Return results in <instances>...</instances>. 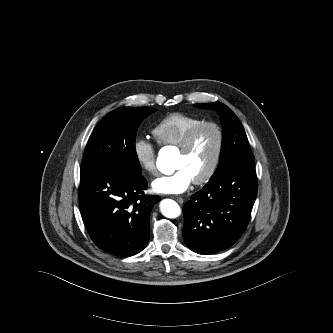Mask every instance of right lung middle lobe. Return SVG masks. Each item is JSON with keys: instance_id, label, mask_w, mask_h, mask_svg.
Here are the masks:
<instances>
[{"instance_id": "dd1d6c3e", "label": "right lung middle lobe", "mask_w": 333, "mask_h": 333, "mask_svg": "<svg viewBox=\"0 0 333 333\" xmlns=\"http://www.w3.org/2000/svg\"><path fill=\"white\" fill-rule=\"evenodd\" d=\"M156 109L121 107L107 114L95 127L85 149L82 168H118L142 175L135 149L141 121Z\"/></svg>"}]
</instances>
